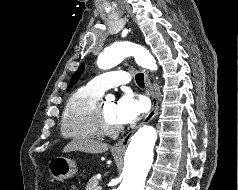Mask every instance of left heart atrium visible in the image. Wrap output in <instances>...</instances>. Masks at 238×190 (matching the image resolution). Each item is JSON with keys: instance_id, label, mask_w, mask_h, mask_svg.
Returning <instances> with one entry per match:
<instances>
[{"instance_id": "left-heart-atrium-1", "label": "left heart atrium", "mask_w": 238, "mask_h": 190, "mask_svg": "<svg viewBox=\"0 0 238 190\" xmlns=\"http://www.w3.org/2000/svg\"><path fill=\"white\" fill-rule=\"evenodd\" d=\"M148 109L147 101L133 93L124 94L117 102V119L122 124L138 120Z\"/></svg>"}]
</instances>
